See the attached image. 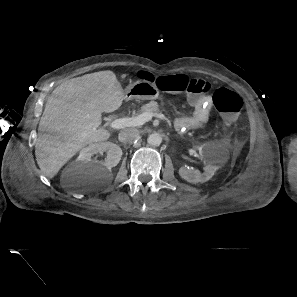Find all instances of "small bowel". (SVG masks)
<instances>
[{"label": "small bowel", "mask_w": 297, "mask_h": 297, "mask_svg": "<svg viewBox=\"0 0 297 297\" xmlns=\"http://www.w3.org/2000/svg\"><path fill=\"white\" fill-rule=\"evenodd\" d=\"M190 103L195 108L192 116L179 118L175 122L178 130L184 131L188 129L201 130L209 121L210 111L212 108V100L209 96L197 100H190Z\"/></svg>", "instance_id": "c3829d8e"}]
</instances>
